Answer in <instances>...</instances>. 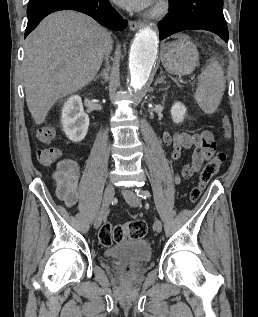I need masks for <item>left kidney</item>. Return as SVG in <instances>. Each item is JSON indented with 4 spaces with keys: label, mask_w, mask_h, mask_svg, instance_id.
Wrapping results in <instances>:
<instances>
[{
    "label": "left kidney",
    "mask_w": 258,
    "mask_h": 317,
    "mask_svg": "<svg viewBox=\"0 0 258 317\" xmlns=\"http://www.w3.org/2000/svg\"><path fill=\"white\" fill-rule=\"evenodd\" d=\"M186 110L187 108L182 102H173L170 110L173 122H183Z\"/></svg>",
    "instance_id": "5707ae66"
}]
</instances>
